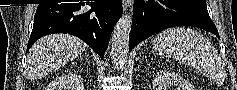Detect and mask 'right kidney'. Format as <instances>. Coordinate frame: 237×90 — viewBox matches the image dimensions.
Here are the masks:
<instances>
[{"instance_id":"ca27d5eb","label":"right kidney","mask_w":237,"mask_h":90,"mask_svg":"<svg viewBox=\"0 0 237 90\" xmlns=\"http://www.w3.org/2000/svg\"><path fill=\"white\" fill-rule=\"evenodd\" d=\"M76 80H77V76H76ZM59 86H57V84H55V88H51V86H48V90H58Z\"/></svg>"}]
</instances>
